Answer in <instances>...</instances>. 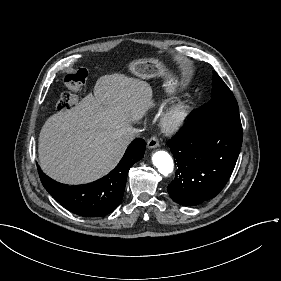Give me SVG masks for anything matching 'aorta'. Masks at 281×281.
Wrapping results in <instances>:
<instances>
[{
	"mask_svg": "<svg viewBox=\"0 0 281 281\" xmlns=\"http://www.w3.org/2000/svg\"><path fill=\"white\" fill-rule=\"evenodd\" d=\"M152 162L158 171L164 176H168L173 171V159L166 151L160 150L155 152L152 156Z\"/></svg>",
	"mask_w": 281,
	"mask_h": 281,
	"instance_id": "762f6f07",
	"label": "aorta"
}]
</instances>
